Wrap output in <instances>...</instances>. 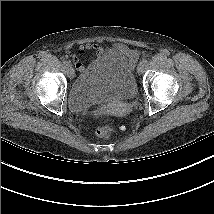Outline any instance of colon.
<instances>
[{
  "label": "colon",
  "instance_id": "colon-1",
  "mask_svg": "<svg viewBox=\"0 0 214 214\" xmlns=\"http://www.w3.org/2000/svg\"><path fill=\"white\" fill-rule=\"evenodd\" d=\"M112 130L113 126L111 124H106L96 129V135L101 138H107Z\"/></svg>",
  "mask_w": 214,
  "mask_h": 214
}]
</instances>
